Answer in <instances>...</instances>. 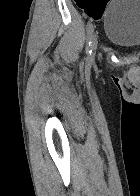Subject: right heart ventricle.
Segmentation results:
<instances>
[{
  "label": "right heart ventricle",
  "instance_id": "obj_1",
  "mask_svg": "<svg viewBox=\"0 0 140 196\" xmlns=\"http://www.w3.org/2000/svg\"><path fill=\"white\" fill-rule=\"evenodd\" d=\"M87 192H107V191H87Z\"/></svg>",
  "mask_w": 140,
  "mask_h": 196
}]
</instances>
